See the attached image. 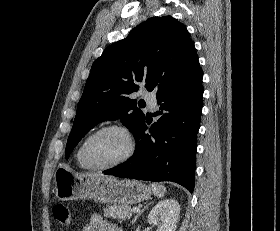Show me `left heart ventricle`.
I'll return each mask as SVG.
<instances>
[{
	"label": "left heart ventricle",
	"mask_w": 280,
	"mask_h": 231,
	"mask_svg": "<svg viewBox=\"0 0 280 231\" xmlns=\"http://www.w3.org/2000/svg\"><path fill=\"white\" fill-rule=\"evenodd\" d=\"M127 147L126 139L118 131H107L95 137L89 144L87 156L97 166H104L119 159Z\"/></svg>",
	"instance_id": "1"
}]
</instances>
